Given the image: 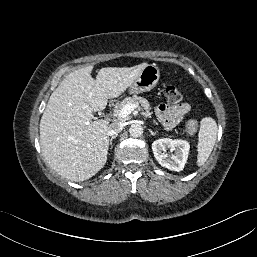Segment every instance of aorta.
Masks as SVG:
<instances>
[{
	"mask_svg": "<svg viewBox=\"0 0 257 257\" xmlns=\"http://www.w3.org/2000/svg\"><path fill=\"white\" fill-rule=\"evenodd\" d=\"M129 133L133 137H139L143 134V127L139 123H133L129 128Z\"/></svg>",
	"mask_w": 257,
	"mask_h": 257,
	"instance_id": "762f6f07",
	"label": "aorta"
}]
</instances>
